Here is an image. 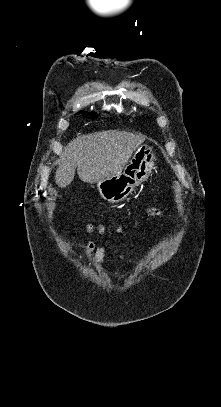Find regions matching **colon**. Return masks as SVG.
Listing matches in <instances>:
<instances>
[{
	"mask_svg": "<svg viewBox=\"0 0 221 407\" xmlns=\"http://www.w3.org/2000/svg\"><path fill=\"white\" fill-rule=\"evenodd\" d=\"M161 213H162V211H161L160 209H158V208H151V209H150V214H151V216H153V217L158 216V215H160Z\"/></svg>",
	"mask_w": 221,
	"mask_h": 407,
	"instance_id": "colon-1",
	"label": "colon"
}]
</instances>
